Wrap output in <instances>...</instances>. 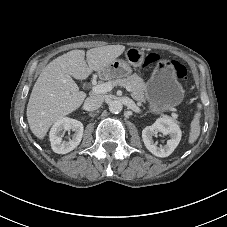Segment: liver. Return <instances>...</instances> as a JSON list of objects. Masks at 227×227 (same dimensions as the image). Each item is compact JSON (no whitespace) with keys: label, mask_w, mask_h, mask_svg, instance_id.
<instances>
[{"label":"liver","mask_w":227,"mask_h":227,"mask_svg":"<svg viewBox=\"0 0 227 227\" xmlns=\"http://www.w3.org/2000/svg\"><path fill=\"white\" fill-rule=\"evenodd\" d=\"M125 50L123 45H107L72 50L51 61L35 82L27 105L30 130L43 139L59 119L78 109L86 93L79 91L74 79L84 80L93 71H101ZM73 77V78H72Z\"/></svg>","instance_id":"obj_1"}]
</instances>
